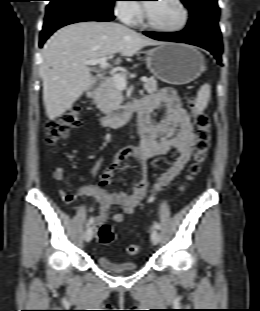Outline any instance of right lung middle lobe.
Masks as SVG:
<instances>
[{
	"mask_svg": "<svg viewBox=\"0 0 260 311\" xmlns=\"http://www.w3.org/2000/svg\"><path fill=\"white\" fill-rule=\"evenodd\" d=\"M106 13L113 14L112 7L115 0H78Z\"/></svg>",
	"mask_w": 260,
	"mask_h": 311,
	"instance_id": "dd1d6c3e",
	"label": "right lung middle lobe"
}]
</instances>
